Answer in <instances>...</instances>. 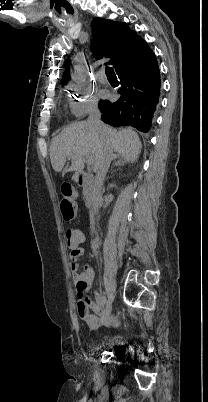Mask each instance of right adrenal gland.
<instances>
[{
	"label": "right adrenal gland",
	"mask_w": 208,
	"mask_h": 402,
	"mask_svg": "<svg viewBox=\"0 0 208 402\" xmlns=\"http://www.w3.org/2000/svg\"><path fill=\"white\" fill-rule=\"evenodd\" d=\"M118 158V160H117ZM113 160H117L116 164H114V166H120V164H123V160H121V158H119V156H114Z\"/></svg>",
	"instance_id": "2a0ac1e0"
}]
</instances>
